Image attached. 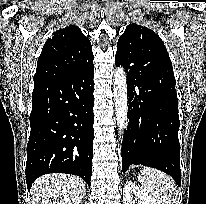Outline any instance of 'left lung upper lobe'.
Masks as SVG:
<instances>
[{
  "instance_id": "1",
  "label": "left lung upper lobe",
  "mask_w": 206,
  "mask_h": 204,
  "mask_svg": "<svg viewBox=\"0 0 206 204\" xmlns=\"http://www.w3.org/2000/svg\"><path fill=\"white\" fill-rule=\"evenodd\" d=\"M115 57L132 68L146 63L148 66L161 65L164 69L173 72L162 39L152 30L135 23L128 25L120 36Z\"/></svg>"
}]
</instances>
